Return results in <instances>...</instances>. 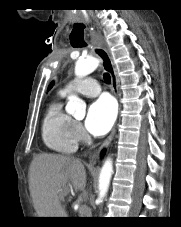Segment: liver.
Instances as JSON below:
<instances>
[{
	"label": "liver",
	"instance_id": "obj_1",
	"mask_svg": "<svg viewBox=\"0 0 181 227\" xmlns=\"http://www.w3.org/2000/svg\"><path fill=\"white\" fill-rule=\"evenodd\" d=\"M71 185L75 191L86 186V170L79 159L57 154H39L31 162L29 188L38 217H67L64 197Z\"/></svg>",
	"mask_w": 181,
	"mask_h": 227
}]
</instances>
